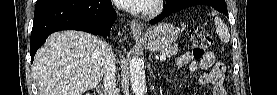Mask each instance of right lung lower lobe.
<instances>
[{
    "mask_svg": "<svg viewBox=\"0 0 277 95\" xmlns=\"http://www.w3.org/2000/svg\"><path fill=\"white\" fill-rule=\"evenodd\" d=\"M116 18L110 0L37 1L31 32V62L47 37L61 30H79L107 36Z\"/></svg>",
    "mask_w": 277,
    "mask_h": 95,
    "instance_id": "right-lung-lower-lobe-1",
    "label": "right lung lower lobe"
}]
</instances>
